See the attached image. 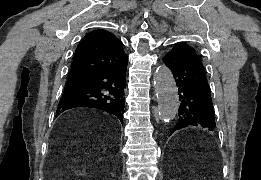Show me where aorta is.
<instances>
[{
  "label": "aorta",
  "instance_id": "obj_1",
  "mask_svg": "<svg viewBox=\"0 0 261 180\" xmlns=\"http://www.w3.org/2000/svg\"><path fill=\"white\" fill-rule=\"evenodd\" d=\"M154 88L157 95L159 118L163 122L173 120L179 109L178 88L171 70L158 67L154 74Z\"/></svg>",
  "mask_w": 261,
  "mask_h": 180
}]
</instances>
